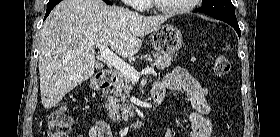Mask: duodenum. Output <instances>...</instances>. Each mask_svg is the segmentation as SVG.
Returning <instances> with one entry per match:
<instances>
[{
  "label": "duodenum",
  "instance_id": "duodenum-1",
  "mask_svg": "<svg viewBox=\"0 0 280 137\" xmlns=\"http://www.w3.org/2000/svg\"><path fill=\"white\" fill-rule=\"evenodd\" d=\"M117 80V76L115 72H109L105 74V76L97 82L96 90L102 91L105 89H109L115 85ZM152 96L156 106L160 105L163 101L164 92L162 87L159 84H154L152 87ZM157 111L155 110L153 113L149 114L146 118L139 119L135 121L133 124L127 126L130 130H136L145 128L149 125L151 121L156 118Z\"/></svg>",
  "mask_w": 280,
  "mask_h": 137
}]
</instances>
